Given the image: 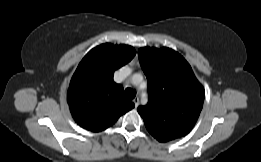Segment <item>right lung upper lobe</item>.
I'll list each match as a JSON object with an SVG mask.
<instances>
[{
	"instance_id": "obj_1",
	"label": "right lung upper lobe",
	"mask_w": 261,
	"mask_h": 162,
	"mask_svg": "<svg viewBox=\"0 0 261 162\" xmlns=\"http://www.w3.org/2000/svg\"><path fill=\"white\" fill-rule=\"evenodd\" d=\"M135 54V49L129 45L109 43L101 44L86 54L71 79L67 94L77 124L99 132L134 108L132 102L123 98V88L113 81V73Z\"/></svg>"
}]
</instances>
